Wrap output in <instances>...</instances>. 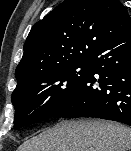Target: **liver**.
<instances>
[{
    "label": "liver",
    "instance_id": "1",
    "mask_svg": "<svg viewBox=\"0 0 131 151\" xmlns=\"http://www.w3.org/2000/svg\"><path fill=\"white\" fill-rule=\"evenodd\" d=\"M131 129L102 120L62 121L24 142L18 151H128Z\"/></svg>",
    "mask_w": 131,
    "mask_h": 151
}]
</instances>
